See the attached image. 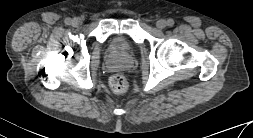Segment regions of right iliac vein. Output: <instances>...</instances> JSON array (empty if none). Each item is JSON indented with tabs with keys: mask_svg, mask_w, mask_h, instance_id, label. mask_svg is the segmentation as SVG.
Masks as SVG:
<instances>
[{
	"mask_svg": "<svg viewBox=\"0 0 253 138\" xmlns=\"http://www.w3.org/2000/svg\"><path fill=\"white\" fill-rule=\"evenodd\" d=\"M78 25V22L76 20H73L71 23H70V26L72 28H75L76 26Z\"/></svg>",
	"mask_w": 253,
	"mask_h": 138,
	"instance_id": "right-iliac-vein-1",
	"label": "right iliac vein"
}]
</instances>
